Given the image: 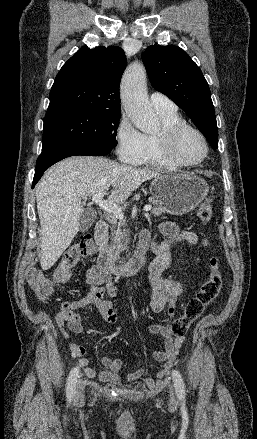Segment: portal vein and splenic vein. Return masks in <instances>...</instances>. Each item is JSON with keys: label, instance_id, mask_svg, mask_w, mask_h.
Here are the masks:
<instances>
[{"label": "portal vein and splenic vein", "instance_id": "portal-vein-and-splenic-vein-1", "mask_svg": "<svg viewBox=\"0 0 257 439\" xmlns=\"http://www.w3.org/2000/svg\"><path fill=\"white\" fill-rule=\"evenodd\" d=\"M104 195H105L104 192L95 194L92 197V201L95 204H97L101 209L107 211L108 213L115 215L118 219L122 220L123 219L122 209L119 206H117L116 204H114L113 202L104 200L103 199ZM151 209H152L151 204H147L143 208L144 212H149Z\"/></svg>", "mask_w": 257, "mask_h": 439}]
</instances>
